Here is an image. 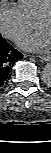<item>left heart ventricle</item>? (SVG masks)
<instances>
[{
    "label": "left heart ventricle",
    "instance_id": "obj_1",
    "mask_svg": "<svg viewBox=\"0 0 51 153\" xmlns=\"http://www.w3.org/2000/svg\"><path fill=\"white\" fill-rule=\"evenodd\" d=\"M38 28L45 30L51 36V19L43 20Z\"/></svg>",
    "mask_w": 51,
    "mask_h": 153
}]
</instances>
